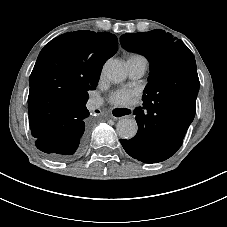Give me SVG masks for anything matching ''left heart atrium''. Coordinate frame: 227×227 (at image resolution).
Wrapping results in <instances>:
<instances>
[{"label": "left heart atrium", "mask_w": 227, "mask_h": 227, "mask_svg": "<svg viewBox=\"0 0 227 227\" xmlns=\"http://www.w3.org/2000/svg\"><path fill=\"white\" fill-rule=\"evenodd\" d=\"M137 97L138 93L134 90H120L112 94L111 102L117 106H131Z\"/></svg>", "instance_id": "39dd6f15"}]
</instances>
